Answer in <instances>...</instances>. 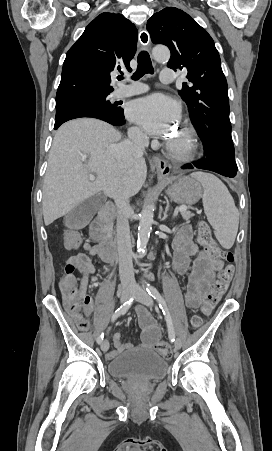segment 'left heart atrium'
I'll return each mask as SVG.
<instances>
[{
    "label": "left heart atrium",
    "mask_w": 272,
    "mask_h": 451,
    "mask_svg": "<svg viewBox=\"0 0 272 451\" xmlns=\"http://www.w3.org/2000/svg\"><path fill=\"white\" fill-rule=\"evenodd\" d=\"M177 103L164 96L154 95L137 101L130 112L133 120L140 123L152 135H166L171 125L179 120Z\"/></svg>",
    "instance_id": "39dd6f15"
}]
</instances>
